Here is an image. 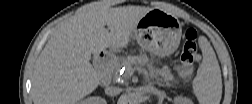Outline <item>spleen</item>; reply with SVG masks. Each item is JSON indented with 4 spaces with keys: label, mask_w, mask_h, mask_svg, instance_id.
<instances>
[{
    "label": "spleen",
    "mask_w": 252,
    "mask_h": 104,
    "mask_svg": "<svg viewBox=\"0 0 252 104\" xmlns=\"http://www.w3.org/2000/svg\"><path fill=\"white\" fill-rule=\"evenodd\" d=\"M203 60L192 82L195 96L201 104H218L222 96L221 70L215 52L205 37L199 38Z\"/></svg>",
    "instance_id": "obj_1"
}]
</instances>
